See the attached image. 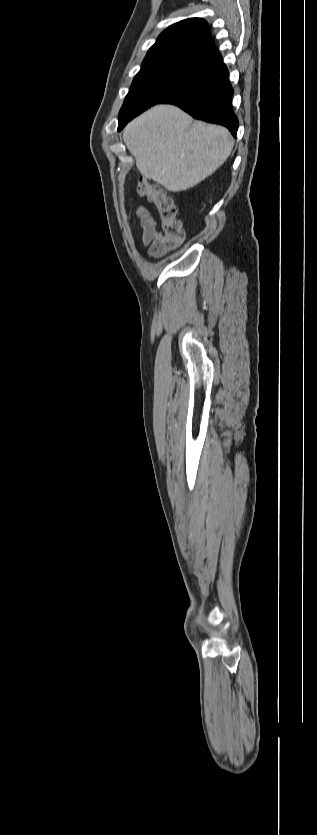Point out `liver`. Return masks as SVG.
<instances>
[{"mask_svg": "<svg viewBox=\"0 0 317 835\" xmlns=\"http://www.w3.org/2000/svg\"><path fill=\"white\" fill-rule=\"evenodd\" d=\"M123 141L146 178L166 189H189L229 157L234 141L221 126L194 121L176 106L161 104L132 120Z\"/></svg>", "mask_w": 317, "mask_h": 835, "instance_id": "6515ba94", "label": "liver"}]
</instances>
